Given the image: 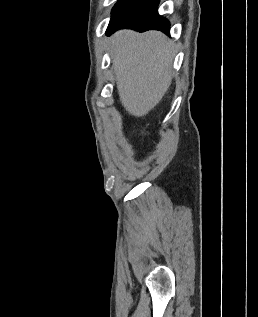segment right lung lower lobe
Wrapping results in <instances>:
<instances>
[{
  "instance_id": "98d812e1",
  "label": "right lung lower lobe",
  "mask_w": 258,
  "mask_h": 317,
  "mask_svg": "<svg viewBox=\"0 0 258 317\" xmlns=\"http://www.w3.org/2000/svg\"><path fill=\"white\" fill-rule=\"evenodd\" d=\"M159 0H118L112 9V17L106 35L121 28L139 32L160 30L169 35L170 24L158 15Z\"/></svg>"
}]
</instances>
